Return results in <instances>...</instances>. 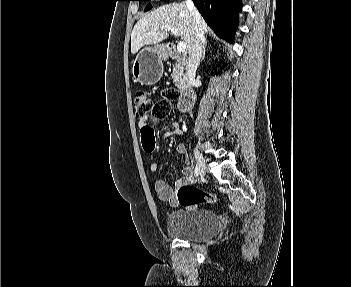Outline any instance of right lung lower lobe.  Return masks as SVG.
Masks as SVG:
<instances>
[{
  "instance_id": "98d812e1",
  "label": "right lung lower lobe",
  "mask_w": 351,
  "mask_h": 287,
  "mask_svg": "<svg viewBox=\"0 0 351 287\" xmlns=\"http://www.w3.org/2000/svg\"><path fill=\"white\" fill-rule=\"evenodd\" d=\"M200 14L215 33L233 42L241 0H193Z\"/></svg>"
}]
</instances>
